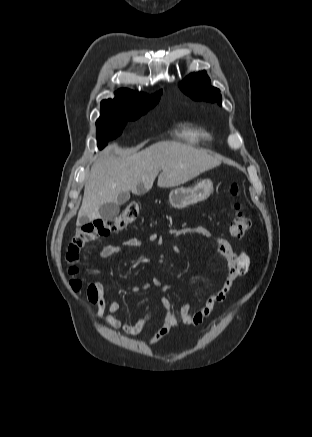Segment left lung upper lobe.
Wrapping results in <instances>:
<instances>
[{
    "label": "left lung upper lobe",
    "instance_id": "left-lung-upper-lobe-1",
    "mask_svg": "<svg viewBox=\"0 0 312 437\" xmlns=\"http://www.w3.org/2000/svg\"><path fill=\"white\" fill-rule=\"evenodd\" d=\"M179 86L185 94L194 100L217 102L221 105L222 97L220 91L210 86V79L205 71L190 74Z\"/></svg>",
    "mask_w": 312,
    "mask_h": 437
}]
</instances>
